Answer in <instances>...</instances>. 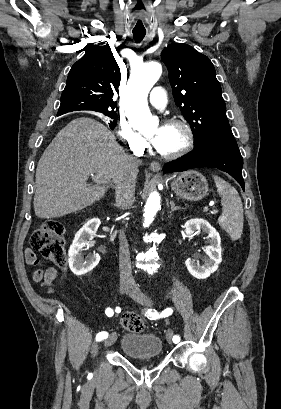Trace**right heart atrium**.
<instances>
[{
	"mask_svg": "<svg viewBox=\"0 0 281 409\" xmlns=\"http://www.w3.org/2000/svg\"><path fill=\"white\" fill-rule=\"evenodd\" d=\"M125 117L126 119L119 124L121 139L132 151L141 152L146 147L144 139L138 135L143 115H125Z\"/></svg>",
	"mask_w": 281,
	"mask_h": 409,
	"instance_id": "1",
	"label": "right heart atrium"
}]
</instances>
